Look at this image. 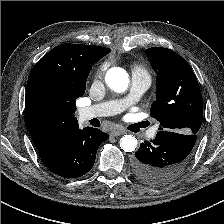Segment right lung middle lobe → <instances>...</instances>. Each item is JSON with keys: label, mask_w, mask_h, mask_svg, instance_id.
Segmentation results:
<instances>
[{"label": "right lung middle lobe", "mask_w": 224, "mask_h": 224, "mask_svg": "<svg viewBox=\"0 0 224 224\" xmlns=\"http://www.w3.org/2000/svg\"><path fill=\"white\" fill-rule=\"evenodd\" d=\"M85 88L86 87H84L80 93H75L67 88L59 89V87L52 82H41L37 84L31 92V106L41 115H50L53 114L60 106L59 93L62 92L70 95L75 100L84 94Z\"/></svg>", "instance_id": "dd1d6c3e"}]
</instances>
